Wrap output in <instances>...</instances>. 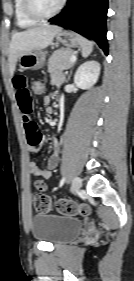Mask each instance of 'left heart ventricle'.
I'll use <instances>...</instances> for the list:
<instances>
[{"label": "left heart ventricle", "instance_id": "1", "mask_svg": "<svg viewBox=\"0 0 134 281\" xmlns=\"http://www.w3.org/2000/svg\"><path fill=\"white\" fill-rule=\"evenodd\" d=\"M61 0H35L36 7L43 13L53 11Z\"/></svg>", "mask_w": 134, "mask_h": 281}]
</instances>
